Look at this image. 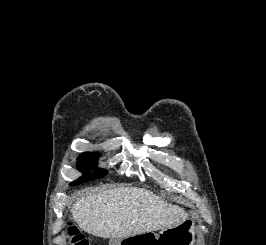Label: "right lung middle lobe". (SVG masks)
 <instances>
[{
	"label": "right lung middle lobe",
	"instance_id": "right-lung-middle-lobe-1",
	"mask_svg": "<svg viewBox=\"0 0 266 245\" xmlns=\"http://www.w3.org/2000/svg\"><path fill=\"white\" fill-rule=\"evenodd\" d=\"M97 155L92 153H82L78 157L77 167L78 170L83 172L84 175L79 178L77 181L71 183L72 185L79 184L81 182H86L89 180H95L97 178H101L106 174V171L103 169L97 170L95 173H88L89 170L93 169L97 164Z\"/></svg>",
	"mask_w": 266,
	"mask_h": 245
}]
</instances>
